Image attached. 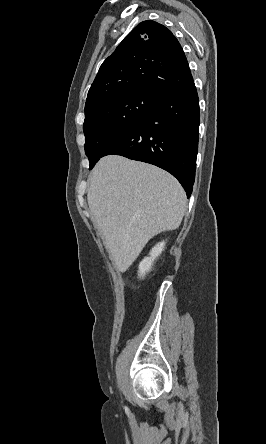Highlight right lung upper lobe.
<instances>
[{
	"label": "right lung upper lobe",
	"instance_id": "right-lung-upper-lobe-1",
	"mask_svg": "<svg viewBox=\"0 0 266 444\" xmlns=\"http://www.w3.org/2000/svg\"><path fill=\"white\" fill-rule=\"evenodd\" d=\"M192 81L177 38L165 26L143 21L101 65L89 89L85 110L125 92L145 91L162 98Z\"/></svg>",
	"mask_w": 266,
	"mask_h": 444
}]
</instances>
